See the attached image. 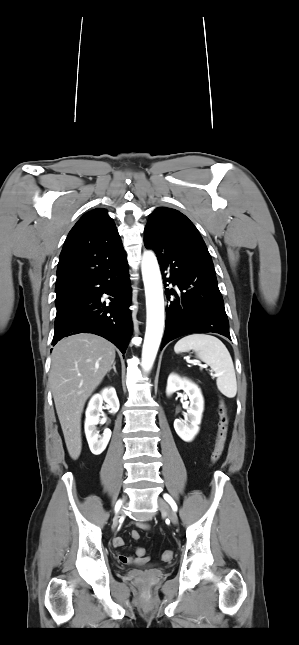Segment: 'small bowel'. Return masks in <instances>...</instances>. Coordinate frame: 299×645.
<instances>
[{
	"label": "small bowel",
	"instance_id": "1",
	"mask_svg": "<svg viewBox=\"0 0 299 645\" xmlns=\"http://www.w3.org/2000/svg\"><path fill=\"white\" fill-rule=\"evenodd\" d=\"M139 526H140L141 528H144V529H145V528H147V525H146V524H144V523H139ZM123 544H124V540H123L121 537H116V538L113 540V545H114L116 548L122 547V546H123ZM118 560H119L121 563H124V564H128V563H143V562H145V561L147 560V558H146V557H144V558H140V557L132 558V557H128V556H125V555L119 554V555H118Z\"/></svg>",
	"mask_w": 299,
	"mask_h": 645
}]
</instances>
